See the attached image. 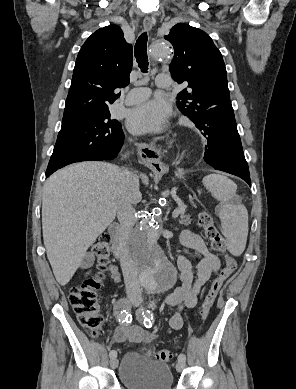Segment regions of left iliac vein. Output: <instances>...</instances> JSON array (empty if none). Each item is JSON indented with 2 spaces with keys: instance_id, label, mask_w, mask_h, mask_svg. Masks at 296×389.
Masks as SVG:
<instances>
[{
  "instance_id": "left-iliac-vein-1",
  "label": "left iliac vein",
  "mask_w": 296,
  "mask_h": 389,
  "mask_svg": "<svg viewBox=\"0 0 296 389\" xmlns=\"http://www.w3.org/2000/svg\"><path fill=\"white\" fill-rule=\"evenodd\" d=\"M135 305L137 306L138 303H135ZM184 367H185V362H184V361L178 360V362H177V364H176V370H177L178 372H181V371L184 369Z\"/></svg>"
}]
</instances>
